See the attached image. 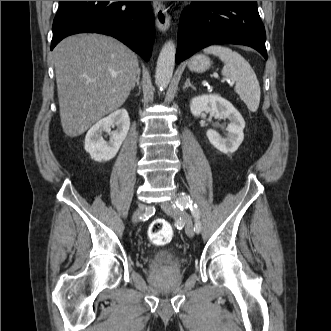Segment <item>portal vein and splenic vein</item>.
Here are the masks:
<instances>
[{"label": "portal vein and splenic vein", "mask_w": 331, "mask_h": 331, "mask_svg": "<svg viewBox=\"0 0 331 331\" xmlns=\"http://www.w3.org/2000/svg\"><path fill=\"white\" fill-rule=\"evenodd\" d=\"M222 81H224V79H223ZM229 84L233 85V84H234V82H229Z\"/></svg>", "instance_id": "1"}]
</instances>
